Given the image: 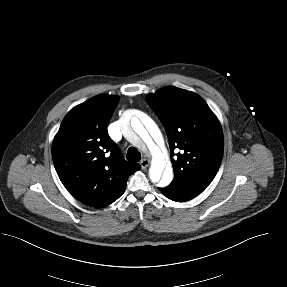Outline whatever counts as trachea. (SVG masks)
Instances as JSON below:
<instances>
[{
	"instance_id": "trachea-1",
	"label": "trachea",
	"mask_w": 287,
	"mask_h": 287,
	"mask_svg": "<svg viewBox=\"0 0 287 287\" xmlns=\"http://www.w3.org/2000/svg\"><path fill=\"white\" fill-rule=\"evenodd\" d=\"M126 158L129 161L138 162L141 160V153L135 147H130L127 151Z\"/></svg>"
}]
</instances>
